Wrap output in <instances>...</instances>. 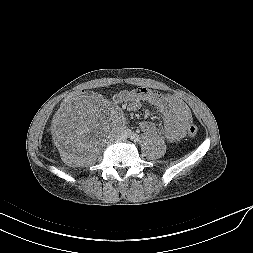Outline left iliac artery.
<instances>
[{"label": "left iliac artery", "mask_w": 253, "mask_h": 253, "mask_svg": "<svg viewBox=\"0 0 253 253\" xmlns=\"http://www.w3.org/2000/svg\"><path fill=\"white\" fill-rule=\"evenodd\" d=\"M130 137H131V139H132L134 142H139V141H140V137H139V135L136 134V133H132V134L130 135Z\"/></svg>", "instance_id": "obj_1"}]
</instances>
